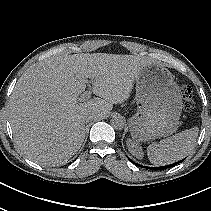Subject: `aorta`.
Instances as JSON below:
<instances>
[{
  "label": "aorta",
  "mask_w": 211,
  "mask_h": 211,
  "mask_svg": "<svg viewBox=\"0 0 211 211\" xmlns=\"http://www.w3.org/2000/svg\"><path fill=\"white\" fill-rule=\"evenodd\" d=\"M111 126L116 129V130H121L124 127V120L121 116H114L111 120H110Z\"/></svg>",
  "instance_id": "762f6f07"
}]
</instances>
